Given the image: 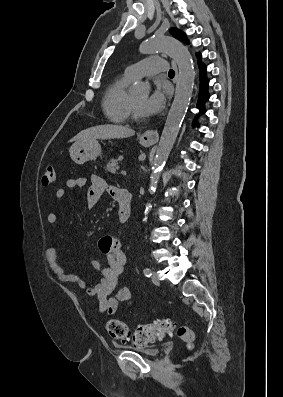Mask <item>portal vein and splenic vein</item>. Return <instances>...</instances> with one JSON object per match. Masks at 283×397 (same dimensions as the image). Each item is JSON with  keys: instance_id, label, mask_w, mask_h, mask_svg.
<instances>
[{"instance_id": "obj_1", "label": "portal vein and splenic vein", "mask_w": 283, "mask_h": 397, "mask_svg": "<svg viewBox=\"0 0 283 397\" xmlns=\"http://www.w3.org/2000/svg\"><path fill=\"white\" fill-rule=\"evenodd\" d=\"M121 174H122L123 176H126L127 173H126V171L122 170V171H121Z\"/></svg>"}]
</instances>
